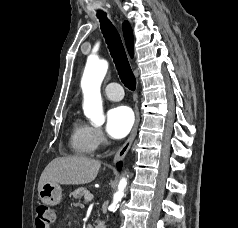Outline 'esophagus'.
Wrapping results in <instances>:
<instances>
[{"label": "esophagus", "instance_id": "esophagus-1", "mask_svg": "<svg viewBox=\"0 0 238 228\" xmlns=\"http://www.w3.org/2000/svg\"><path fill=\"white\" fill-rule=\"evenodd\" d=\"M135 100H136V107H135L136 119H135V123H134V126L131 130V133H130L128 139L125 141V143L120 147V149L115 154L114 163L117 162V161L122 160L125 157V155L129 151V149H130V147H131V145H132V143L135 139V136L137 134V129H138L139 121H140L137 94H136Z\"/></svg>", "mask_w": 238, "mask_h": 228}]
</instances>
